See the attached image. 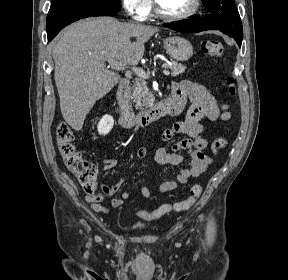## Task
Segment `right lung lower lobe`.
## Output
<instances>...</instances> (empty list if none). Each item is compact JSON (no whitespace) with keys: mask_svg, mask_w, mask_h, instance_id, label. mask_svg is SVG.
<instances>
[{"mask_svg":"<svg viewBox=\"0 0 288 280\" xmlns=\"http://www.w3.org/2000/svg\"><path fill=\"white\" fill-rule=\"evenodd\" d=\"M118 11L93 0H76L56 6L49 10L47 16L48 41L74 21L91 16H114Z\"/></svg>","mask_w":288,"mask_h":280,"instance_id":"obj_1","label":"right lung lower lobe"}]
</instances>
